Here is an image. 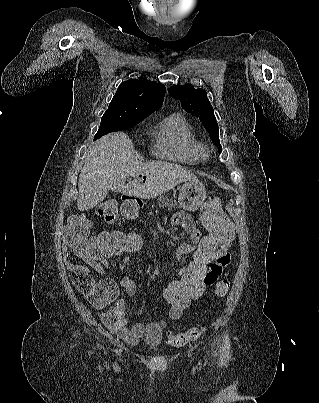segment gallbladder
<instances>
[{
	"instance_id": "gallbladder-1",
	"label": "gallbladder",
	"mask_w": 319,
	"mask_h": 403,
	"mask_svg": "<svg viewBox=\"0 0 319 403\" xmlns=\"http://www.w3.org/2000/svg\"><path fill=\"white\" fill-rule=\"evenodd\" d=\"M106 207H107V209L114 210V211H117V209H118L117 203H115V204L109 203L108 206H106Z\"/></svg>"
}]
</instances>
